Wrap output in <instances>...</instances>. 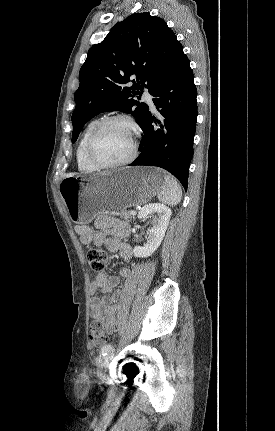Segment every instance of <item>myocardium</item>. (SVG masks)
<instances>
[{"mask_svg":"<svg viewBox=\"0 0 275 431\" xmlns=\"http://www.w3.org/2000/svg\"><path fill=\"white\" fill-rule=\"evenodd\" d=\"M113 122H123L130 127V129L132 131V135H133L132 149H131L129 156L126 159H124L120 162H117V163H105V162L99 161L98 159H96L94 157L93 147H94V144H95L97 137L102 132V130L107 125H109ZM138 143H139V130H138L136 124L127 116L113 115V116H109V117H106V118L100 120L95 125V127L92 129V131L90 132V134L87 138V141H86L85 155H86L88 162L97 169H117V168H121V167H124L126 165H129L130 163H132L135 160V158L137 156V152H138Z\"/></svg>","mask_w":275,"mask_h":431,"instance_id":"obj_1","label":"myocardium"}]
</instances>
